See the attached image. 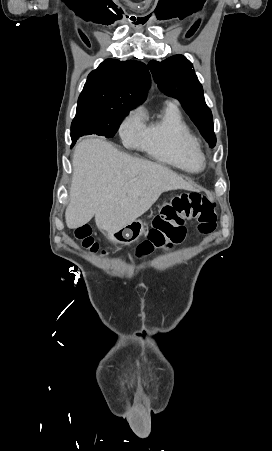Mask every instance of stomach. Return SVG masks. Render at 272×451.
Wrapping results in <instances>:
<instances>
[{
    "label": "stomach",
    "instance_id": "obj_1",
    "mask_svg": "<svg viewBox=\"0 0 272 451\" xmlns=\"http://www.w3.org/2000/svg\"><path fill=\"white\" fill-rule=\"evenodd\" d=\"M152 218V216H148ZM145 224L142 220H133L127 226L120 227V229H115V231H106L105 235L107 239L113 241V243H124V245H130L136 239H139L140 235L145 233Z\"/></svg>",
    "mask_w": 272,
    "mask_h": 451
}]
</instances>
